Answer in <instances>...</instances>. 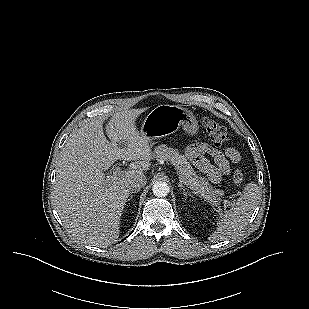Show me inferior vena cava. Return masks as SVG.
Instances as JSON below:
<instances>
[{
    "label": "inferior vena cava",
    "instance_id": "1",
    "mask_svg": "<svg viewBox=\"0 0 309 309\" xmlns=\"http://www.w3.org/2000/svg\"><path fill=\"white\" fill-rule=\"evenodd\" d=\"M147 178L144 174H135L134 176L130 177L126 185L129 189L132 190H139L141 189L144 185H146Z\"/></svg>",
    "mask_w": 309,
    "mask_h": 309
}]
</instances>
